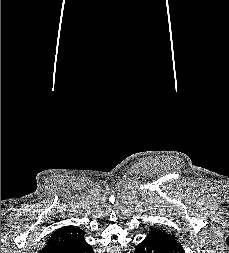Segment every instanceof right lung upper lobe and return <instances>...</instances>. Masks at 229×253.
Masks as SVG:
<instances>
[{
  "instance_id": "obj_1",
  "label": "right lung upper lobe",
  "mask_w": 229,
  "mask_h": 253,
  "mask_svg": "<svg viewBox=\"0 0 229 253\" xmlns=\"http://www.w3.org/2000/svg\"><path fill=\"white\" fill-rule=\"evenodd\" d=\"M84 234L83 230L74 226L59 228L53 232L40 253H55L60 249L67 248L83 240Z\"/></svg>"
}]
</instances>
